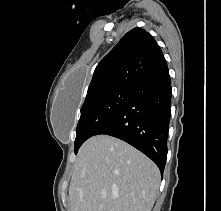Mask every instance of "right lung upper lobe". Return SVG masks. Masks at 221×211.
Listing matches in <instances>:
<instances>
[{
    "label": "right lung upper lobe",
    "mask_w": 221,
    "mask_h": 211,
    "mask_svg": "<svg viewBox=\"0 0 221 211\" xmlns=\"http://www.w3.org/2000/svg\"><path fill=\"white\" fill-rule=\"evenodd\" d=\"M168 72L162 50L141 28L126 33L99 62L86 99L117 88H133L141 82Z\"/></svg>",
    "instance_id": "1"
}]
</instances>
